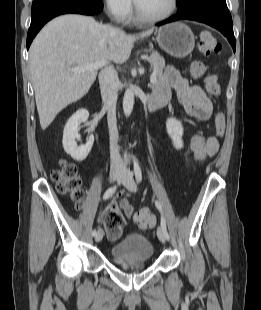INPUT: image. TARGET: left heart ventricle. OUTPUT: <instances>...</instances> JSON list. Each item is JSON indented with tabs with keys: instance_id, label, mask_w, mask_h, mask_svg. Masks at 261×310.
Returning <instances> with one entry per match:
<instances>
[{
	"instance_id": "left-heart-ventricle-1",
	"label": "left heart ventricle",
	"mask_w": 261,
	"mask_h": 310,
	"mask_svg": "<svg viewBox=\"0 0 261 310\" xmlns=\"http://www.w3.org/2000/svg\"><path fill=\"white\" fill-rule=\"evenodd\" d=\"M171 0H135L140 11L146 16H158L170 7Z\"/></svg>"
}]
</instances>
